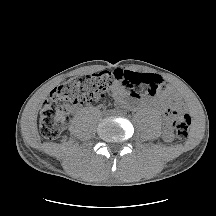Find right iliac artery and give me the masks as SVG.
<instances>
[{
  "label": "right iliac artery",
  "mask_w": 216,
  "mask_h": 216,
  "mask_svg": "<svg viewBox=\"0 0 216 216\" xmlns=\"http://www.w3.org/2000/svg\"><path fill=\"white\" fill-rule=\"evenodd\" d=\"M112 112H116V109H114Z\"/></svg>",
  "instance_id": "1"
}]
</instances>
